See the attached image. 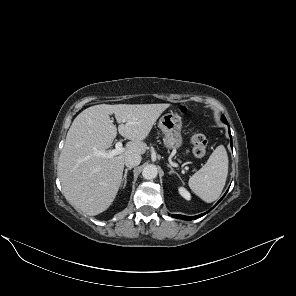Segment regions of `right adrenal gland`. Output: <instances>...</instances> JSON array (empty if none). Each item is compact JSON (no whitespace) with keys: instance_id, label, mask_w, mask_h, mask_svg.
I'll use <instances>...</instances> for the list:
<instances>
[{"instance_id":"right-adrenal-gland-1","label":"right adrenal gland","mask_w":296,"mask_h":296,"mask_svg":"<svg viewBox=\"0 0 296 296\" xmlns=\"http://www.w3.org/2000/svg\"><path fill=\"white\" fill-rule=\"evenodd\" d=\"M129 170H131V168H126L125 169V173H124V177H123L122 185H121L122 188H125V186L127 184V173H128Z\"/></svg>"}]
</instances>
